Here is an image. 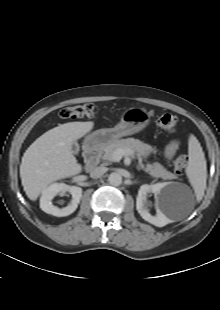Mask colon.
I'll return each mask as SVG.
<instances>
[{
	"mask_svg": "<svg viewBox=\"0 0 220 310\" xmlns=\"http://www.w3.org/2000/svg\"><path fill=\"white\" fill-rule=\"evenodd\" d=\"M95 114L93 103L87 102L65 107L60 111V116L65 119L90 118ZM179 124V119L171 113L161 114L157 118V125L167 132H174ZM188 158L186 155L178 156L174 161V170L177 174H183L186 170Z\"/></svg>",
	"mask_w": 220,
	"mask_h": 310,
	"instance_id": "5ec220e1",
	"label": "colon"
}]
</instances>
